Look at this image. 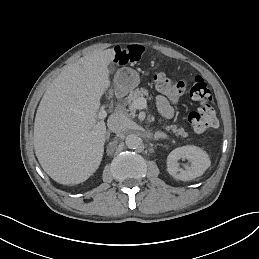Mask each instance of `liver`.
Listing matches in <instances>:
<instances>
[{
    "instance_id": "liver-1",
    "label": "liver",
    "mask_w": 259,
    "mask_h": 259,
    "mask_svg": "<svg viewBox=\"0 0 259 259\" xmlns=\"http://www.w3.org/2000/svg\"><path fill=\"white\" fill-rule=\"evenodd\" d=\"M113 49L93 50L66 66L52 81L34 122L35 154L60 184L86 181L103 157L106 126L96 121L100 99L110 86Z\"/></svg>"
}]
</instances>
